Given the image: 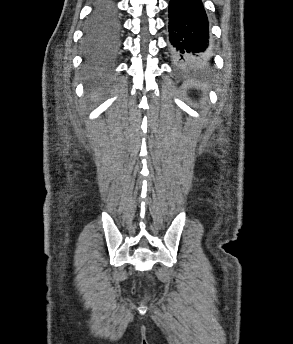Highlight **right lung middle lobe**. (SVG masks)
<instances>
[{"mask_svg": "<svg viewBox=\"0 0 293 344\" xmlns=\"http://www.w3.org/2000/svg\"><path fill=\"white\" fill-rule=\"evenodd\" d=\"M113 0H101L96 6L85 31V46L89 50H100L110 46L118 26V17Z\"/></svg>", "mask_w": 293, "mask_h": 344, "instance_id": "obj_1", "label": "right lung middle lobe"}]
</instances>
